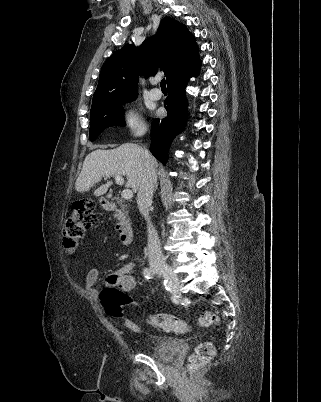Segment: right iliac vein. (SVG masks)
<instances>
[{"instance_id":"63e3f726","label":"right iliac vein","mask_w":321,"mask_h":402,"mask_svg":"<svg viewBox=\"0 0 321 402\" xmlns=\"http://www.w3.org/2000/svg\"><path fill=\"white\" fill-rule=\"evenodd\" d=\"M156 272L164 276L176 289H179L180 279L178 275L169 266L156 267Z\"/></svg>"}]
</instances>
